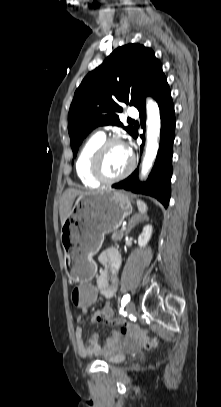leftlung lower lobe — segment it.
Here are the masks:
<instances>
[{
    "label": "left lung lower lobe",
    "instance_id": "0a47b994",
    "mask_svg": "<svg viewBox=\"0 0 221 407\" xmlns=\"http://www.w3.org/2000/svg\"><path fill=\"white\" fill-rule=\"evenodd\" d=\"M152 97L158 102L161 115L160 145L154 167L145 183H139L137 169L128 178L113 184L112 187L155 197L167 208L171 194L172 145L175 137L176 120L171 91L166 77L160 80ZM139 113L141 125L144 127L146 121L145 105L139 109ZM137 136L138 133L135 132L133 137L136 138ZM141 138L144 142L143 136Z\"/></svg>",
    "mask_w": 221,
    "mask_h": 407
}]
</instances>
